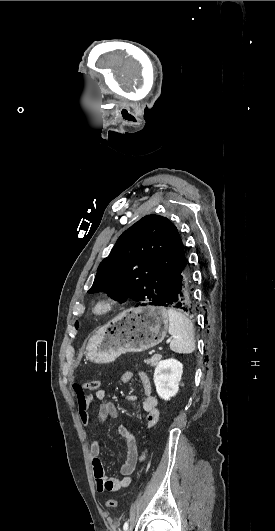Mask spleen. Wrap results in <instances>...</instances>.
I'll return each instance as SVG.
<instances>
[{
	"label": "spleen",
	"mask_w": 275,
	"mask_h": 531,
	"mask_svg": "<svg viewBox=\"0 0 275 531\" xmlns=\"http://www.w3.org/2000/svg\"><path fill=\"white\" fill-rule=\"evenodd\" d=\"M167 313L169 317L168 333L172 335L171 351L174 353H193L195 351V337L192 321L176 309H168Z\"/></svg>",
	"instance_id": "3e777b00"
}]
</instances>
